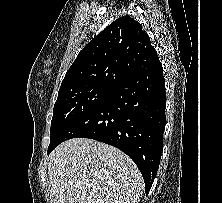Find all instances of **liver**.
<instances>
[{
  "label": "liver",
  "instance_id": "6515ba94",
  "mask_svg": "<svg viewBox=\"0 0 222 203\" xmlns=\"http://www.w3.org/2000/svg\"><path fill=\"white\" fill-rule=\"evenodd\" d=\"M52 203H138L142 175L119 149L85 138L63 142L49 155Z\"/></svg>",
  "mask_w": 222,
  "mask_h": 203
}]
</instances>
